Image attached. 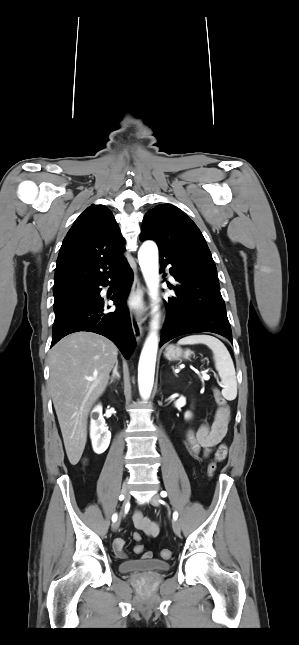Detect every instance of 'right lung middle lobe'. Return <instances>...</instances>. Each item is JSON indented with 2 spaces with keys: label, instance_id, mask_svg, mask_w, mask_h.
<instances>
[{
  "label": "right lung middle lobe",
  "instance_id": "1",
  "mask_svg": "<svg viewBox=\"0 0 299 645\" xmlns=\"http://www.w3.org/2000/svg\"><path fill=\"white\" fill-rule=\"evenodd\" d=\"M89 288L90 284H78L53 291L55 316L76 302L85 299Z\"/></svg>",
  "mask_w": 299,
  "mask_h": 645
}]
</instances>
